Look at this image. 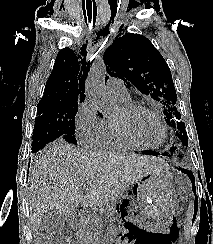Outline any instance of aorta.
<instances>
[{"label":"aorta","instance_id":"aorta-1","mask_svg":"<svg viewBox=\"0 0 213 244\" xmlns=\"http://www.w3.org/2000/svg\"><path fill=\"white\" fill-rule=\"evenodd\" d=\"M106 74L107 69L103 62L94 64L87 77L86 92L89 100L104 117H112L118 109V103L105 87Z\"/></svg>","mask_w":213,"mask_h":244}]
</instances>
